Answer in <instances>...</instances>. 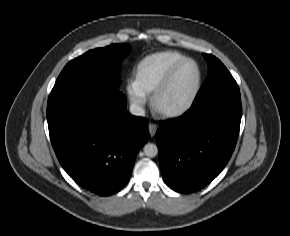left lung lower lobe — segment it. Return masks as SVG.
<instances>
[{"label": "left lung lower lobe", "instance_id": "obj_1", "mask_svg": "<svg viewBox=\"0 0 290 236\" xmlns=\"http://www.w3.org/2000/svg\"><path fill=\"white\" fill-rule=\"evenodd\" d=\"M241 116L236 84L194 102L181 117L160 122L156 142L166 184L191 193L216 178L235 149Z\"/></svg>", "mask_w": 290, "mask_h": 236}]
</instances>
